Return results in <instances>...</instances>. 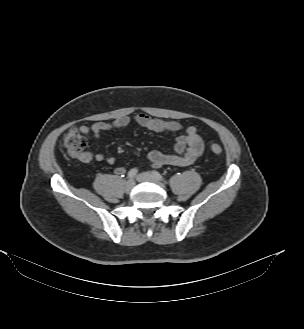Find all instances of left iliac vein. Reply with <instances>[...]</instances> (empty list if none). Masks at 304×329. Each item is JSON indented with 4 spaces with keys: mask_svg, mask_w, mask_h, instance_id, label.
Returning <instances> with one entry per match:
<instances>
[{
    "mask_svg": "<svg viewBox=\"0 0 304 329\" xmlns=\"http://www.w3.org/2000/svg\"><path fill=\"white\" fill-rule=\"evenodd\" d=\"M137 180L141 181V182H152L155 183L161 187H164V184L162 182H160L157 178L154 177V175L150 172H144L141 173L137 176Z\"/></svg>",
    "mask_w": 304,
    "mask_h": 329,
    "instance_id": "left-iliac-vein-1",
    "label": "left iliac vein"
}]
</instances>
